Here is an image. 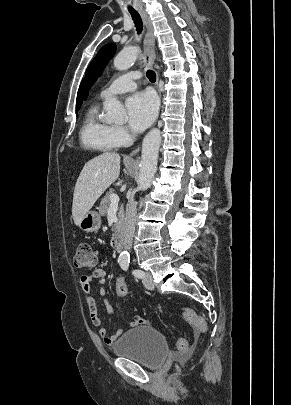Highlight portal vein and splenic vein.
<instances>
[{
    "mask_svg": "<svg viewBox=\"0 0 291 405\" xmlns=\"http://www.w3.org/2000/svg\"><path fill=\"white\" fill-rule=\"evenodd\" d=\"M111 203H110V206L112 207V206H117L118 205V202H119V196L117 195V194H113V195H111Z\"/></svg>",
    "mask_w": 291,
    "mask_h": 405,
    "instance_id": "18ae733b",
    "label": "portal vein and splenic vein"
}]
</instances>
